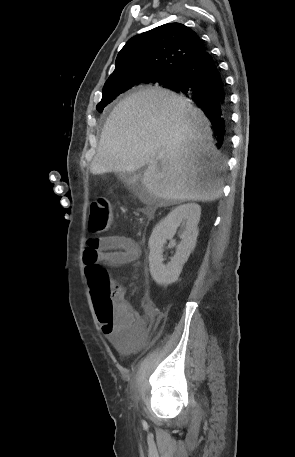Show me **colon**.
Returning a JSON list of instances; mask_svg holds the SVG:
<instances>
[{"label": "colon", "instance_id": "1", "mask_svg": "<svg viewBox=\"0 0 295 457\" xmlns=\"http://www.w3.org/2000/svg\"><path fill=\"white\" fill-rule=\"evenodd\" d=\"M112 211L107 199L99 197L90 206L88 226L92 233H104L112 226ZM85 275L90 287L97 317L110 322L118 312L120 299L117 286L109 278L103 267L97 262H90L85 267Z\"/></svg>", "mask_w": 295, "mask_h": 457}]
</instances>
